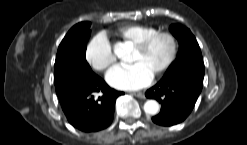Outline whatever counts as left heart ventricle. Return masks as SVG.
I'll return each instance as SVG.
<instances>
[{"label":"left heart ventricle","instance_id":"obj_1","mask_svg":"<svg viewBox=\"0 0 247 145\" xmlns=\"http://www.w3.org/2000/svg\"><path fill=\"white\" fill-rule=\"evenodd\" d=\"M170 48L167 38H157L145 52L134 49L130 64L140 63L153 75L168 58Z\"/></svg>","mask_w":247,"mask_h":145}]
</instances>
